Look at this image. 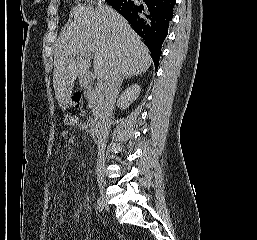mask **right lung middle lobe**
Wrapping results in <instances>:
<instances>
[{
  "label": "right lung middle lobe",
  "instance_id": "right-lung-middle-lobe-1",
  "mask_svg": "<svg viewBox=\"0 0 257 240\" xmlns=\"http://www.w3.org/2000/svg\"><path fill=\"white\" fill-rule=\"evenodd\" d=\"M108 2H112L113 0H107Z\"/></svg>",
  "mask_w": 257,
  "mask_h": 240
}]
</instances>
